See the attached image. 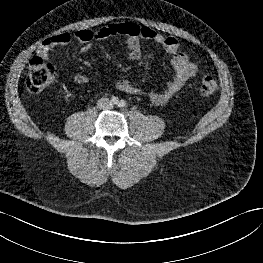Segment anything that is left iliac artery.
Returning <instances> with one entry per match:
<instances>
[{
  "label": "left iliac artery",
  "mask_w": 263,
  "mask_h": 263,
  "mask_svg": "<svg viewBox=\"0 0 263 263\" xmlns=\"http://www.w3.org/2000/svg\"><path fill=\"white\" fill-rule=\"evenodd\" d=\"M118 106L120 108H124L126 106V102L124 100H121L119 103H118Z\"/></svg>",
  "instance_id": "left-iliac-artery-1"
}]
</instances>
